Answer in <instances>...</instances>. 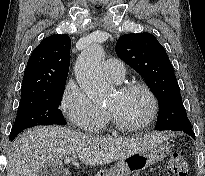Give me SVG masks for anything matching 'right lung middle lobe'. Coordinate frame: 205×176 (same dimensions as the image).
<instances>
[{"instance_id": "obj_1", "label": "right lung middle lobe", "mask_w": 205, "mask_h": 176, "mask_svg": "<svg viewBox=\"0 0 205 176\" xmlns=\"http://www.w3.org/2000/svg\"><path fill=\"white\" fill-rule=\"evenodd\" d=\"M65 84L50 89L21 96L14 126L9 140L13 139L24 129L39 126L59 124L66 122L58 109Z\"/></svg>"}]
</instances>
